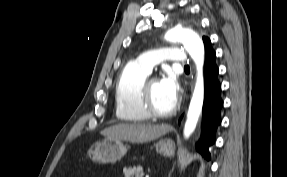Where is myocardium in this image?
Listing matches in <instances>:
<instances>
[{
	"mask_svg": "<svg viewBox=\"0 0 287 177\" xmlns=\"http://www.w3.org/2000/svg\"><path fill=\"white\" fill-rule=\"evenodd\" d=\"M155 80L157 79H150V80L145 81L142 87L141 96H140L141 107L143 111L149 117H152V118L170 117L176 113L178 106H179L178 101L175 102L174 106L170 110L165 111V112L158 111L153 104L151 90H150L151 83Z\"/></svg>",
	"mask_w": 287,
	"mask_h": 177,
	"instance_id": "myocardium-1",
	"label": "myocardium"
}]
</instances>
